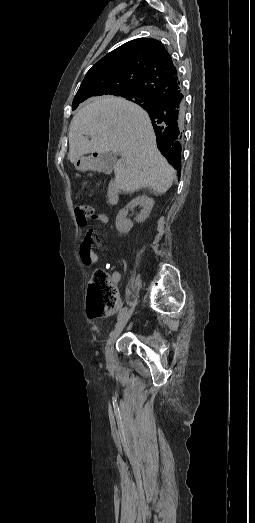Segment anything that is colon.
Wrapping results in <instances>:
<instances>
[{"label":"colon","mask_w":255,"mask_h":523,"mask_svg":"<svg viewBox=\"0 0 255 523\" xmlns=\"http://www.w3.org/2000/svg\"><path fill=\"white\" fill-rule=\"evenodd\" d=\"M80 225H86L93 217V208L88 204H80L75 208ZM88 316L96 318L115 313L120 306V300L111 276L102 268L93 271L88 286Z\"/></svg>","instance_id":"1"}]
</instances>
